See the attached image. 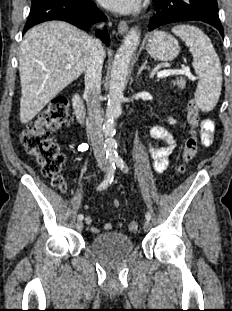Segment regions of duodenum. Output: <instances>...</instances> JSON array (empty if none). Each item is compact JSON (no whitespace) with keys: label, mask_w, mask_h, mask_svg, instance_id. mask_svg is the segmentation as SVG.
<instances>
[{"label":"duodenum","mask_w":232,"mask_h":311,"mask_svg":"<svg viewBox=\"0 0 232 311\" xmlns=\"http://www.w3.org/2000/svg\"><path fill=\"white\" fill-rule=\"evenodd\" d=\"M72 101H73V109L77 119L81 123H84L86 120V108L82 100L80 90L74 93Z\"/></svg>","instance_id":"1"}]
</instances>
